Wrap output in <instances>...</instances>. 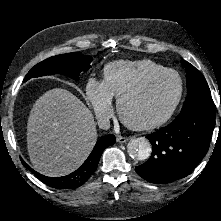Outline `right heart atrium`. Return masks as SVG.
<instances>
[{
    "mask_svg": "<svg viewBox=\"0 0 221 221\" xmlns=\"http://www.w3.org/2000/svg\"><path fill=\"white\" fill-rule=\"evenodd\" d=\"M86 99L92 107L97 119L106 121L112 115V95L103 81L89 78L85 86Z\"/></svg>",
    "mask_w": 221,
    "mask_h": 221,
    "instance_id": "1",
    "label": "right heart atrium"
}]
</instances>
